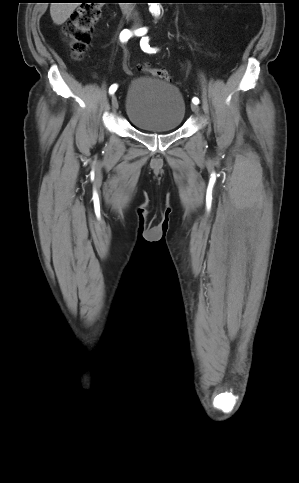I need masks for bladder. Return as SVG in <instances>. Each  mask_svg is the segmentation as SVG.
<instances>
[{"mask_svg":"<svg viewBox=\"0 0 299 483\" xmlns=\"http://www.w3.org/2000/svg\"><path fill=\"white\" fill-rule=\"evenodd\" d=\"M126 117L138 130H177L185 116V101L176 86L156 77L134 80L126 93Z\"/></svg>","mask_w":299,"mask_h":483,"instance_id":"31cf9c89","label":"bladder"}]
</instances>
